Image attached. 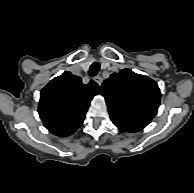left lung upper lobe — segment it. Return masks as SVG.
<instances>
[{"label":"left lung upper lobe","mask_w":194,"mask_h":193,"mask_svg":"<svg viewBox=\"0 0 194 193\" xmlns=\"http://www.w3.org/2000/svg\"><path fill=\"white\" fill-rule=\"evenodd\" d=\"M101 90L111 118L143 128L156 115L160 105L157 83L130 69L113 73L103 82Z\"/></svg>","instance_id":"1"}]
</instances>
